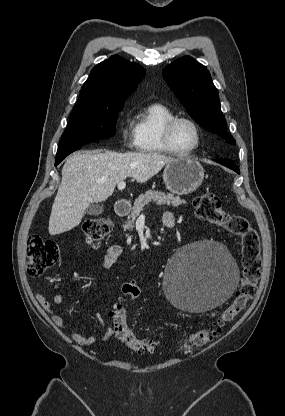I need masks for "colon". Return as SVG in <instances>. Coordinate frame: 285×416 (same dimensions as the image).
<instances>
[{
  "label": "colon",
  "instance_id": "colon-1",
  "mask_svg": "<svg viewBox=\"0 0 285 416\" xmlns=\"http://www.w3.org/2000/svg\"><path fill=\"white\" fill-rule=\"evenodd\" d=\"M197 216L236 236L241 245L242 279L229 306L217 315L207 328L192 332L185 340V346L197 347L217 337L222 328L232 322L253 298L261 275V246L257 231L249 222L238 215L230 214L222 207L221 200L213 193L206 192L194 201ZM111 222L106 218L87 219L82 224L86 242L98 247L110 233ZM28 274L37 277L54 265L59 258V248L55 242L44 240L39 235H31L27 246ZM125 299L134 300L140 296V288L132 282L122 286ZM129 310L126 301L118 302L110 312L116 338L137 353L153 352L156 344L150 339L138 336L128 322Z\"/></svg>",
  "mask_w": 285,
  "mask_h": 416
}]
</instances>
